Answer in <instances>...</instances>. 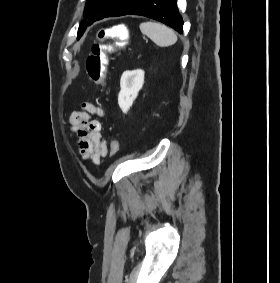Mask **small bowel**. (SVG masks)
<instances>
[{"label":"small bowel","instance_id":"c3829d8e","mask_svg":"<svg viewBox=\"0 0 280 283\" xmlns=\"http://www.w3.org/2000/svg\"><path fill=\"white\" fill-rule=\"evenodd\" d=\"M92 115L104 116L105 112L92 103H83L80 110L71 114L69 122L71 130L77 138L81 159L99 164L102 158L113 153V146L117 141L113 140L108 144L102 138L101 123L93 119Z\"/></svg>","mask_w":280,"mask_h":283}]
</instances>
